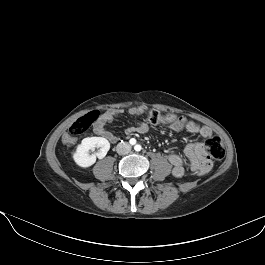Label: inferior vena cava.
Instances as JSON below:
<instances>
[{
    "label": "inferior vena cava",
    "instance_id": "602c4592",
    "mask_svg": "<svg viewBox=\"0 0 265 265\" xmlns=\"http://www.w3.org/2000/svg\"><path fill=\"white\" fill-rule=\"evenodd\" d=\"M116 151L119 155H126L131 151V145L128 142H120L116 146Z\"/></svg>",
    "mask_w": 265,
    "mask_h": 265
}]
</instances>
